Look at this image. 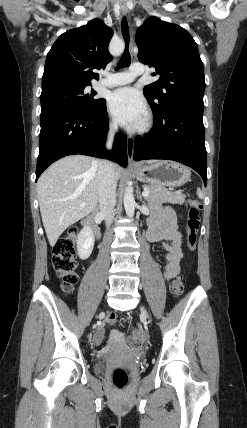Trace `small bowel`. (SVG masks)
I'll use <instances>...</instances> for the list:
<instances>
[{"label":"small bowel","instance_id":"c3829d8e","mask_svg":"<svg viewBox=\"0 0 247 428\" xmlns=\"http://www.w3.org/2000/svg\"><path fill=\"white\" fill-rule=\"evenodd\" d=\"M147 238L151 242H162L167 260L164 278L166 280L172 279L180 271V261L183 254L181 233L177 226L175 213L170 207L155 206L153 208ZM102 336L103 331L99 329L95 334V341L99 343Z\"/></svg>","mask_w":247,"mask_h":428}]
</instances>
